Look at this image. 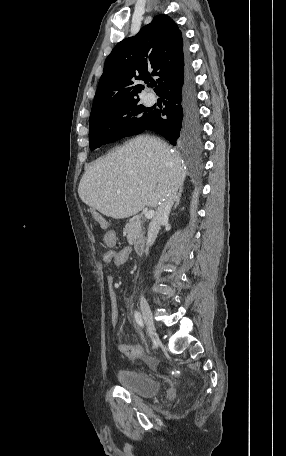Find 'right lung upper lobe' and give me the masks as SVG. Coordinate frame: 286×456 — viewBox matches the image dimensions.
Instances as JSON below:
<instances>
[{
    "label": "right lung upper lobe",
    "mask_w": 286,
    "mask_h": 456,
    "mask_svg": "<svg viewBox=\"0 0 286 456\" xmlns=\"http://www.w3.org/2000/svg\"><path fill=\"white\" fill-rule=\"evenodd\" d=\"M187 67L178 26L167 15L156 16L136 36L119 42L107 57L89 122L114 107L138 103L144 89L140 80L147 83L157 77L154 90L159 94L182 78Z\"/></svg>",
    "instance_id": "cb5924a9"
}]
</instances>
